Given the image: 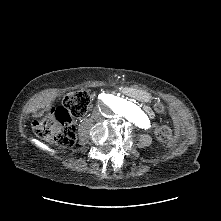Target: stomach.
<instances>
[{
    "label": "stomach",
    "instance_id": "obj_1",
    "mask_svg": "<svg viewBox=\"0 0 221 221\" xmlns=\"http://www.w3.org/2000/svg\"><path fill=\"white\" fill-rule=\"evenodd\" d=\"M136 94H138V93L136 92ZM141 95H142V96H146L144 93H142Z\"/></svg>",
    "mask_w": 221,
    "mask_h": 221
}]
</instances>
